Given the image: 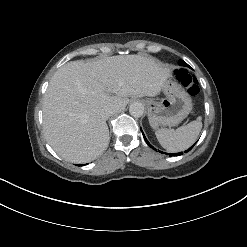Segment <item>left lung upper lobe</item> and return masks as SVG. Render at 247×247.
I'll use <instances>...</instances> for the list:
<instances>
[{
    "label": "left lung upper lobe",
    "mask_w": 247,
    "mask_h": 247,
    "mask_svg": "<svg viewBox=\"0 0 247 247\" xmlns=\"http://www.w3.org/2000/svg\"><path fill=\"white\" fill-rule=\"evenodd\" d=\"M179 65L180 66H187V67H190L185 61H183V60H180L179 61Z\"/></svg>",
    "instance_id": "5c2ea615"
}]
</instances>
